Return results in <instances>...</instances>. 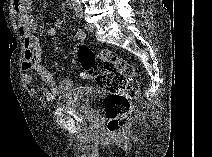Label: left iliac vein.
I'll return each mask as SVG.
<instances>
[{
	"label": "left iliac vein",
	"instance_id": "1",
	"mask_svg": "<svg viewBox=\"0 0 212 157\" xmlns=\"http://www.w3.org/2000/svg\"><path fill=\"white\" fill-rule=\"evenodd\" d=\"M85 29L88 32H93L94 31V25H92L91 23H86L85 24Z\"/></svg>",
	"mask_w": 212,
	"mask_h": 157
}]
</instances>
